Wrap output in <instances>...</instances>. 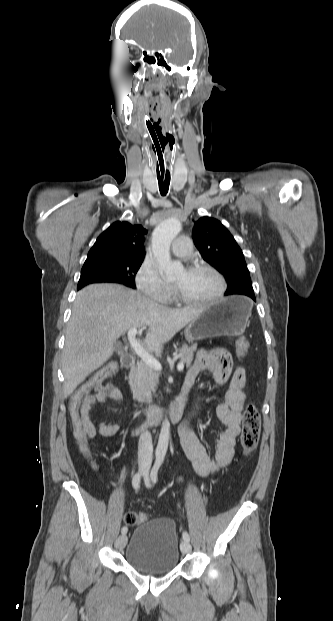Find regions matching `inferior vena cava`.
Masks as SVG:
<instances>
[{
  "instance_id": "1",
  "label": "inferior vena cava",
  "mask_w": 333,
  "mask_h": 621,
  "mask_svg": "<svg viewBox=\"0 0 333 621\" xmlns=\"http://www.w3.org/2000/svg\"><path fill=\"white\" fill-rule=\"evenodd\" d=\"M153 459L152 436L148 430H144L138 442V461L151 465Z\"/></svg>"
}]
</instances>
